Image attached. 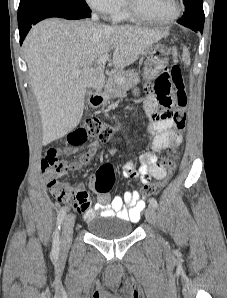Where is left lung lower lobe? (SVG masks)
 <instances>
[{"label": "left lung lower lobe", "instance_id": "0a47b994", "mask_svg": "<svg viewBox=\"0 0 227 298\" xmlns=\"http://www.w3.org/2000/svg\"><path fill=\"white\" fill-rule=\"evenodd\" d=\"M188 28L192 29L195 32H200L201 34L203 32V27H198V26L191 25Z\"/></svg>", "mask_w": 227, "mask_h": 298}]
</instances>
